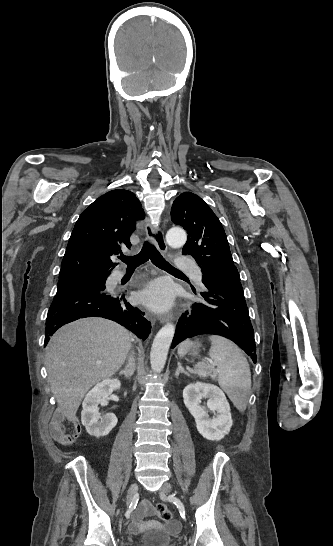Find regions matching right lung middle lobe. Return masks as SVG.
Instances as JSON below:
<instances>
[{
	"instance_id": "right-lung-middle-lobe-1",
	"label": "right lung middle lobe",
	"mask_w": 333,
	"mask_h": 546,
	"mask_svg": "<svg viewBox=\"0 0 333 546\" xmlns=\"http://www.w3.org/2000/svg\"><path fill=\"white\" fill-rule=\"evenodd\" d=\"M107 275H97L81 278H73L66 280H59L57 286V293H62L70 290H80V289H99L105 290V282Z\"/></svg>"
}]
</instances>
